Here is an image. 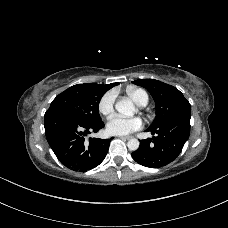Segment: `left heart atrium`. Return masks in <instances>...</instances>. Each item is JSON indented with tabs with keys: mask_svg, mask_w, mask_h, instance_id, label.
Listing matches in <instances>:
<instances>
[{
	"mask_svg": "<svg viewBox=\"0 0 228 228\" xmlns=\"http://www.w3.org/2000/svg\"><path fill=\"white\" fill-rule=\"evenodd\" d=\"M141 127L142 121L140 118H125L120 115L112 116L106 125L107 131L115 135H126L139 130Z\"/></svg>",
	"mask_w": 228,
	"mask_h": 228,
	"instance_id": "obj_1",
	"label": "left heart atrium"
}]
</instances>
